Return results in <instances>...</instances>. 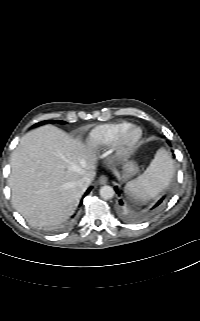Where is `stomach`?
Here are the masks:
<instances>
[{"label": "stomach", "mask_w": 200, "mask_h": 321, "mask_svg": "<svg viewBox=\"0 0 200 321\" xmlns=\"http://www.w3.org/2000/svg\"><path fill=\"white\" fill-rule=\"evenodd\" d=\"M139 172V166L138 164L133 160H128L122 170V178L125 180H128L132 177H134Z\"/></svg>", "instance_id": "1"}]
</instances>
